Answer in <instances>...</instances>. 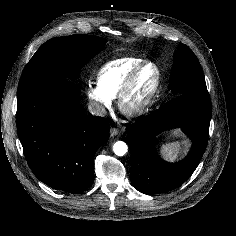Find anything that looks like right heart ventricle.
<instances>
[{"label": "right heart ventricle", "instance_id": "e07e8e85", "mask_svg": "<svg viewBox=\"0 0 236 236\" xmlns=\"http://www.w3.org/2000/svg\"><path fill=\"white\" fill-rule=\"evenodd\" d=\"M145 60L140 57H123L105 64L97 75V84L110 98L118 93L130 72Z\"/></svg>", "mask_w": 236, "mask_h": 236}]
</instances>
